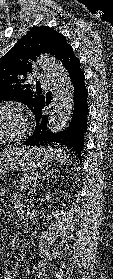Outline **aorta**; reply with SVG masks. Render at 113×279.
<instances>
[{"mask_svg":"<svg viewBox=\"0 0 113 279\" xmlns=\"http://www.w3.org/2000/svg\"><path fill=\"white\" fill-rule=\"evenodd\" d=\"M38 64L49 77L53 86L54 107L47 121V128L51 132L61 131L68 123L73 107L74 92L71 79L65 67L54 57L41 55ZM20 258L26 256L25 244L20 247Z\"/></svg>","mask_w":113,"mask_h":279,"instance_id":"1","label":"aorta"}]
</instances>
